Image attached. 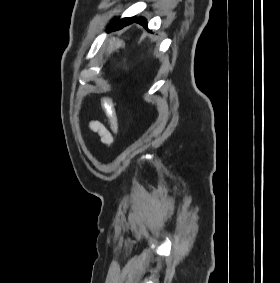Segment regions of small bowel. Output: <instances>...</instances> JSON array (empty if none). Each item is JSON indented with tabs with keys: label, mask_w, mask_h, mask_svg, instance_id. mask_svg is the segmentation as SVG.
<instances>
[{
	"label": "small bowel",
	"mask_w": 280,
	"mask_h": 283,
	"mask_svg": "<svg viewBox=\"0 0 280 283\" xmlns=\"http://www.w3.org/2000/svg\"><path fill=\"white\" fill-rule=\"evenodd\" d=\"M91 131L98 134L103 145L110 146L113 142V133H116L113 125L110 124V129L98 120H92L89 123Z\"/></svg>",
	"instance_id": "1"
}]
</instances>
